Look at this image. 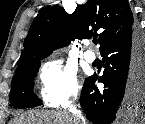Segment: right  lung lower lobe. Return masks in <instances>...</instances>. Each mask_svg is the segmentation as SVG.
Segmentation results:
<instances>
[{
  "mask_svg": "<svg viewBox=\"0 0 145 124\" xmlns=\"http://www.w3.org/2000/svg\"><path fill=\"white\" fill-rule=\"evenodd\" d=\"M104 73L85 80L80 104L88 120L111 124L116 118L132 120L145 104V36L133 24L101 48ZM102 82L104 89L95 87Z\"/></svg>",
  "mask_w": 145,
  "mask_h": 124,
  "instance_id": "right-lung-lower-lobe-1",
  "label": "right lung lower lobe"
}]
</instances>
